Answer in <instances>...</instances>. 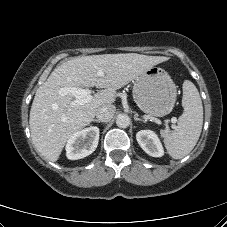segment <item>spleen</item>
<instances>
[{
  "label": "spleen",
  "mask_w": 227,
  "mask_h": 227,
  "mask_svg": "<svg viewBox=\"0 0 227 227\" xmlns=\"http://www.w3.org/2000/svg\"><path fill=\"white\" fill-rule=\"evenodd\" d=\"M183 114L174 131L164 136L168 154L174 159L188 155L195 147L203 124V106L196 86L189 80L183 83Z\"/></svg>",
  "instance_id": "obj_1"
}]
</instances>
